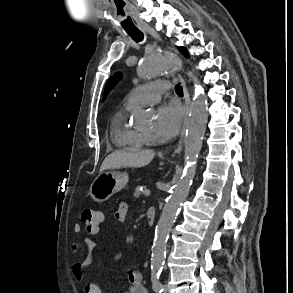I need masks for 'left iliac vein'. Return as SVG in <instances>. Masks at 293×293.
I'll return each mask as SVG.
<instances>
[{
	"instance_id": "1",
	"label": "left iliac vein",
	"mask_w": 293,
	"mask_h": 293,
	"mask_svg": "<svg viewBox=\"0 0 293 293\" xmlns=\"http://www.w3.org/2000/svg\"><path fill=\"white\" fill-rule=\"evenodd\" d=\"M164 293H169V288H168V286L167 285H164Z\"/></svg>"
}]
</instances>
